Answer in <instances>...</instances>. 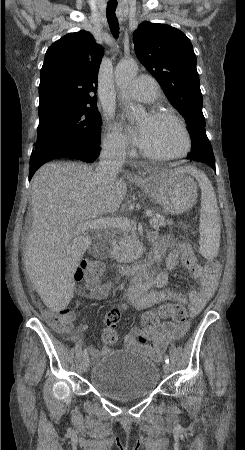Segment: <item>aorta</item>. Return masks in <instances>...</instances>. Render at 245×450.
Returning <instances> with one entry per match:
<instances>
[{
	"label": "aorta",
	"mask_w": 245,
	"mask_h": 450,
	"mask_svg": "<svg viewBox=\"0 0 245 450\" xmlns=\"http://www.w3.org/2000/svg\"><path fill=\"white\" fill-rule=\"evenodd\" d=\"M137 64L134 61H122L115 68V79L118 86L121 89L127 87V85L134 79L137 74ZM128 111L135 120H140L144 117L145 111L142 107L134 105L132 102L127 101Z\"/></svg>",
	"instance_id": "1"
}]
</instances>
